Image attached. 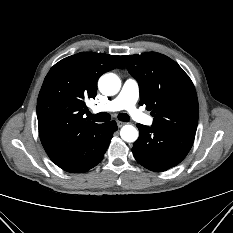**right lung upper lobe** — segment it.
Masks as SVG:
<instances>
[{
    "instance_id": "right-lung-upper-lobe-1",
    "label": "right lung upper lobe",
    "mask_w": 233,
    "mask_h": 233,
    "mask_svg": "<svg viewBox=\"0 0 233 233\" xmlns=\"http://www.w3.org/2000/svg\"><path fill=\"white\" fill-rule=\"evenodd\" d=\"M124 68L120 56L81 52L56 63L43 82L37 101L39 136L58 166L84 163L94 151L101 124L83 118L85 100L95 98L99 77Z\"/></svg>"
}]
</instances>
